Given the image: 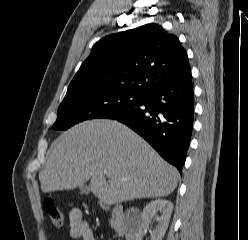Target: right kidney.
<instances>
[{
	"label": "right kidney",
	"instance_id": "right-kidney-1",
	"mask_svg": "<svg viewBox=\"0 0 248 240\" xmlns=\"http://www.w3.org/2000/svg\"><path fill=\"white\" fill-rule=\"evenodd\" d=\"M173 204L171 201L165 199H156L146 205L142 211V220L140 223L132 224L126 231V240H142V236L148 229V225L151 221L152 216L158 212L160 216L157 217L158 224L150 231L151 240H162L172 214Z\"/></svg>",
	"mask_w": 248,
	"mask_h": 240
}]
</instances>
